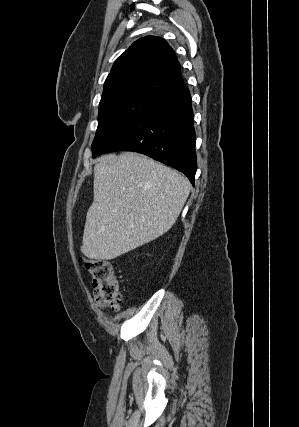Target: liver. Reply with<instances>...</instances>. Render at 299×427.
Segmentation results:
<instances>
[{
  "label": "liver",
  "instance_id": "obj_1",
  "mask_svg": "<svg viewBox=\"0 0 299 427\" xmlns=\"http://www.w3.org/2000/svg\"><path fill=\"white\" fill-rule=\"evenodd\" d=\"M82 253L111 260L167 232L191 190L179 172L144 155L101 156L94 166Z\"/></svg>",
  "mask_w": 299,
  "mask_h": 427
}]
</instances>
